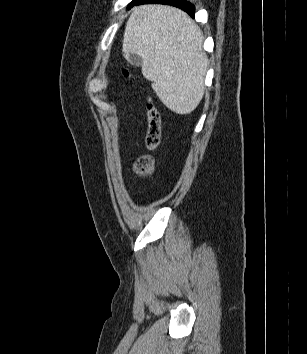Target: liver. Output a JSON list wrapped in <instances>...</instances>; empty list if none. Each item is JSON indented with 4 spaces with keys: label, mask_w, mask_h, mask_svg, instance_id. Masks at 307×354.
<instances>
[{
    "label": "liver",
    "mask_w": 307,
    "mask_h": 354,
    "mask_svg": "<svg viewBox=\"0 0 307 354\" xmlns=\"http://www.w3.org/2000/svg\"><path fill=\"white\" fill-rule=\"evenodd\" d=\"M203 35L182 10L168 5L133 9L124 33V56L142 58V74L161 102L176 114H189L204 95L208 59Z\"/></svg>",
    "instance_id": "obj_1"
}]
</instances>
